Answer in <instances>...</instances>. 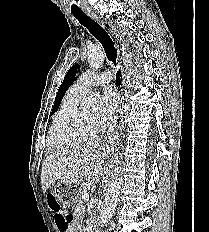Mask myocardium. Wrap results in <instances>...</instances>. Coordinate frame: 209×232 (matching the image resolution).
<instances>
[{
  "label": "myocardium",
  "instance_id": "f54148a6",
  "mask_svg": "<svg viewBox=\"0 0 209 232\" xmlns=\"http://www.w3.org/2000/svg\"><path fill=\"white\" fill-rule=\"evenodd\" d=\"M62 132L70 139H87L96 135V123L87 121L81 108L76 109L66 120Z\"/></svg>",
  "mask_w": 209,
  "mask_h": 232
}]
</instances>
